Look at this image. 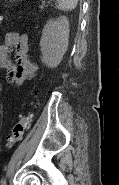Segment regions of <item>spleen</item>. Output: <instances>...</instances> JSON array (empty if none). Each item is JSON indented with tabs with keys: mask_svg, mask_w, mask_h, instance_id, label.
Wrapping results in <instances>:
<instances>
[{
	"mask_svg": "<svg viewBox=\"0 0 119 185\" xmlns=\"http://www.w3.org/2000/svg\"><path fill=\"white\" fill-rule=\"evenodd\" d=\"M58 8L63 11H69L76 8L78 0H57Z\"/></svg>",
	"mask_w": 119,
	"mask_h": 185,
	"instance_id": "obj_1",
	"label": "spleen"
}]
</instances>
